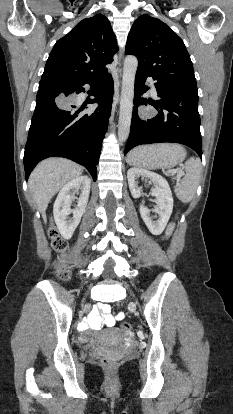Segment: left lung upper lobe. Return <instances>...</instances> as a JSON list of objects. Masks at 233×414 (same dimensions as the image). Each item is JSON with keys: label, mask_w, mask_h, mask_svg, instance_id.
Here are the masks:
<instances>
[{"label": "left lung upper lobe", "mask_w": 233, "mask_h": 414, "mask_svg": "<svg viewBox=\"0 0 233 414\" xmlns=\"http://www.w3.org/2000/svg\"><path fill=\"white\" fill-rule=\"evenodd\" d=\"M125 51L137 57V71L160 83L196 85L193 65L182 39L157 18L142 15L135 20Z\"/></svg>", "instance_id": "obj_1"}]
</instances>
